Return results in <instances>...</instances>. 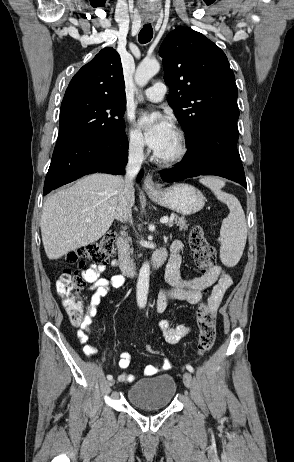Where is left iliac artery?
<instances>
[{
  "label": "left iliac artery",
  "instance_id": "44dca946",
  "mask_svg": "<svg viewBox=\"0 0 294 462\" xmlns=\"http://www.w3.org/2000/svg\"><path fill=\"white\" fill-rule=\"evenodd\" d=\"M186 369L189 371V372H194V369L191 365H186Z\"/></svg>",
  "mask_w": 294,
  "mask_h": 462
}]
</instances>
